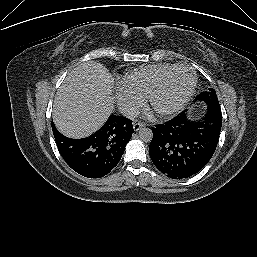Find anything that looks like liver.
<instances>
[{
    "label": "liver",
    "instance_id": "obj_1",
    "mask_svg": "<svg viewBox=\"0 0 257 257\" xmlns=\"http://www.w3.org/2000/svg\"><path fill=\"white\" fill-rule=\"evenodd\" d=\"M114 80L100 62L88 61L68 73L53 105V121L67 137L83 138L97 131L114 109Z\"/></svg>",
    "mask_w": 257,
    "mask_h": 257
}]
</instances>
